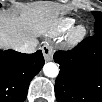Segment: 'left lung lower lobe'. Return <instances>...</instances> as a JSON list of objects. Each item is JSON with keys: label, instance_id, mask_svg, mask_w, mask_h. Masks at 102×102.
<instances>
[{"label": "left lung lower lobe", "instance_id": "obj_1", "mask_svg": "<svg viewBox=\"0 0 102 102\" xmlns=\"http://www.w3.org/2000/svg\"><path fill=\"white\" fill-rule=\"evenodd\" d=\"M102 33L84 39L70 51H57L55 82L58 102H102Z\"/></svg>", "mask_w": 102, "mask_h": 102}]
</instances>
